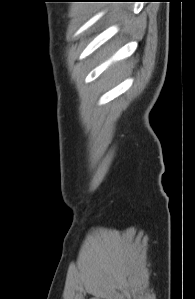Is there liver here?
<instances>
[{"label":"liver","instance_id":"liver-1","mask_svg":"<svg viewBox=\"0 0 195 299\" xmlns=\"http://www.w3.org/2000/svg\"><path fill=\"white\" fill-rule=\"evenodd\" d=\"M113 47H109V49L107 50V52L109 53L110 51H112Z\"/></svg>","mask_w":195,"mask_h":299}]
</instances>
